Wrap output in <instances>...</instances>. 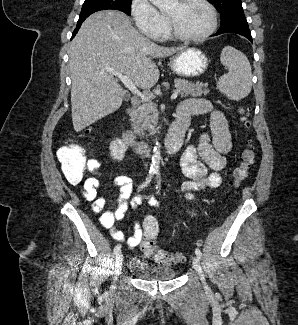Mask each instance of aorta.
I'll use <instances>...</instances> for the list:
<instances>
[{
  "label": "aorta",
  "instance_id": "obj_1",
  "mask_svg": "<svg viewBox=\"0 0 298 325\" xmlns=\"http://www.w3.org/2000/svg\"><path fill=\"white\" fill-rule=\"evenodd\" d=\"M150 2H152L154 6H157V8H160V10H169V8H173V6H176L179 0H150ZM156 144L157 146H154L153 148L149 173H158L160 167V144L159 142H156Z\"/></svg>",
  "mask_w": 298,
  "mask_h": 325
}]
</instances>
